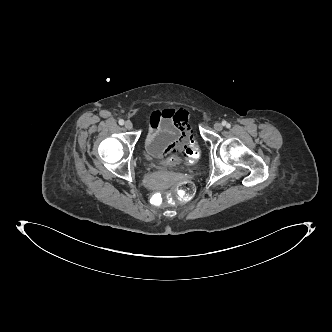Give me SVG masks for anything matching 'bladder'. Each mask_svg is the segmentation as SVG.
Segmentation results:
<instances>
[{"instance_id": "31cf9c89", "label": "bladder", "mask_w": 332, "mask_h": 332, "mask_svg": "<svg viewBox=\"0 0 332 332\" xmlns=\"http://www.w3.org/2000/svg\"><path fill=\"white\" fill-rule=\"evenodd\" d=\"M144 158L146 164L149 166H174L180 162V158L175 154L159 151L151 155L147 148H145Z\"/></svg>"}]
</instances>
